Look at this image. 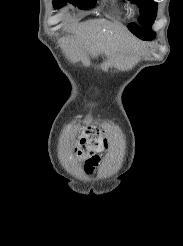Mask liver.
I'll return each mask as SVG.
<instances>
[{
	"label": "liver",
	"mask_w": 183,
	"mask_h": 246,
	"mask_svg": "<svg viewBox=\"0 0 183 246\" xmlns=\"http://www.w3.org/2000/svg\"><path fill=\"white\" fill-rule=\"evenodd\" d=\"M84 39V46L94 57L104 52L110 54L123 49L126 44H131L132 39L119 27L101 20H89L80 25Z\"/></svg>",
	"instance_id": "liver-1"
}]
</instances>
